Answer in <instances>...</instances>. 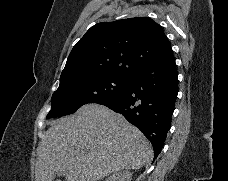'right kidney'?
<instances>
[{
  "instance_id": "1",
  "label": "right kidney",
  "mask_w": 228,
  "mask_h": 181,
  "mask_svg": "<svg viewBox=\"0 0 228 181\" xmlns=\"http://www.w3.org/2000/svg\"><path fill=\"white\" fill-rule=\"evenodd\" d=\"M106 181H132V173L130 171H117V173L108 177Z\"/></svg>"
}]
</instances>
